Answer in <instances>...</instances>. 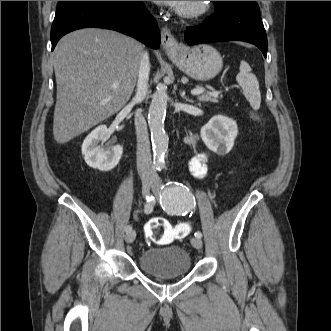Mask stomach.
Wrapping results in <instances>:
<instances>
[{"mask_svg": "<svg viewBox=\"0 0 331 331\" xmlns=\"http://www.w3.org/2000/svg\"><path fill=\"white\" fill-rule=\"evenodd\" d=\"M170 58L181 71L199 81L214 78L223 66L220 53L208 44H199L191 48L182 47L171 54Z\"/></svg>", "mask_w": 331, "mask_h": 331, "instance_id": "0dacf381", "label": "stomach"}]
</instances>
